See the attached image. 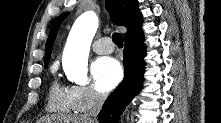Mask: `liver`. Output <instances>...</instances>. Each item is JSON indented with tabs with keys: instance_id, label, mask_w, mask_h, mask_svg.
<instances>
[{
	"instance_id": "obj_1",
	"label": "liver",
	"mask_w": 221,
	"mask_h": 123,
	"mask_svg": "<svg viewBox=\"0 0 221 123\" xmlns=\"http://www.w3.org/2000/svg\"><path fill=\"white\" fill-rule=\"evenodd\" d=\"M51 121L48 119V122L51 123ZM54 121L57 123H93L86 115L57 118Z\"/></svg>"
}]
</instances>
